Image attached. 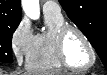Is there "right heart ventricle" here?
Instances as JSON below:
<instances>
[{
    "label": "right heart ventricle",
    "instance_id": "obj_1",
    "mask_svg": "<svg viewBox=\"0 0 107 75\" xmlns=\"http://www.w3.org/2000/svg\"><path fill=\"white\" fill-rule=\"evenodd\" d=\"M45 22L47 30L35 35L26 66L34 72H58L64 67L56 57L55 36L65 20L62 15L45 14Z\"/></svg>",
    "mask_w": 107,
    "mask_h": 75
}]
</instances>
